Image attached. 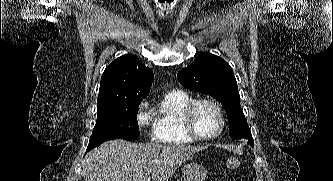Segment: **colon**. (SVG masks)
<instances>
[{
    "label": "colon",
    "mask_w": 333,
    "mask_h": 181,
    "mask_svg": "<svg viewBox=\"0 0 333 181\" xmlns=\"http://www.w3.org/2000/svg\"><path fill=\"white\" fill-rule=\"evenodd\" d=\"M241 165V161L238 157H235V156H231L227 159L226 161V167L228 170H237L239 169Z\"/></svg>",
    "instance_id": "5ec220e1"
}]
</instances>
